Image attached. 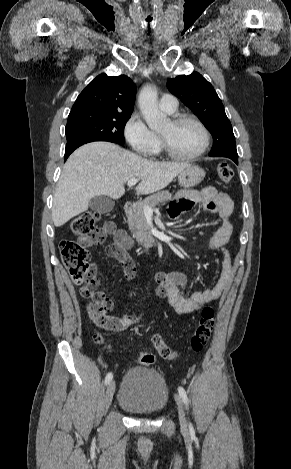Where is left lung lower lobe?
I'll list each match as a JSON object with an SVG mask.
<instances>
[{
    "label": "left lung lower lobe",
    "mask_w": 291,
    "mask_h": 469,
    "mask_svg": "<svg viewBox=\"0 0 291 469\" xmlns=\"http://www.w3.org/2000/svg\"><path fill=\"white\" fill-rule=\"evenodd\" d=\"M219 156L230 158V159H232L236 164H238V156L229 155V154H221V155H219Z\"/></svg>",
    "instance_id": "1"
}]
</instances>
